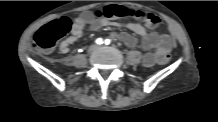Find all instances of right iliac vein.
Masks as SVG:
<instances>
[{"instance_id": "right-iliac-vein-1", "label": "right iliac vein", "mask_w": 218, "mask_h": 122, "mask_svg": "<svg viewBox=\"0 0 218 122\" xmlns=\"http://www.w3.org/2000/svg\"><path fill=\"white\" fill-rule=\"evenodd\" d=\"M95 50H96V46H91V47L89 48V52H90V53L94 52Z\"/></svg>"}]
</instances>
